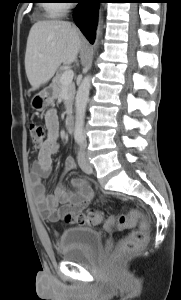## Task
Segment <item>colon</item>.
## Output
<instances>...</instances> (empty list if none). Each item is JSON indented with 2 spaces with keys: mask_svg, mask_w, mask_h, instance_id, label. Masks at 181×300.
<instances>
[{
  "mask_svg": "<svg viewBox=\"0 0 181 300\" xmlns=\"http://www.w3.org/2000/svg\"><path fill=\"white\" fill-rule=\"evenodd\" d=\"M29 136L32 145L39 148L46 139V130L43 126L36 123L29 125ZM66 221L69 223H79L82 225L97 226L105 223V229L108 232L132 228L138 225V228L125 236L115 251L114 258L117 261L123 260L144 246L148 241L149 223L144 215L135 209L130 210L127 214L109 217L104 220V215L100 211H90L87 214H67Z\"/></svg>",
  "mask_w": 181,
  "mask_h": 300,
  "instance_id": "colon-1",
  "label": "colon"
}]
</instances>
